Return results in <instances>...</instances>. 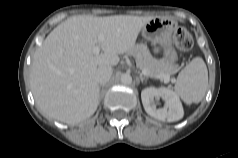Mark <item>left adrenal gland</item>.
<instances>
[{
  "label": "left adrenal gland",
  "instance_id": "left-adrenal-gland-1",
  "mask_svg": "<svg viewBox=\"0 0 238 158\" xmlns=\"http://www.w3.org/2000/svg\"><path fill=\"white\" fill-rule=\"evenodd\" d=\"M139 78L142 83L147 80V77L143 76L142 73H139Z\"/></svg>",
  "mask_w": 238,
  "mask_h": 158
}]
</instances>
